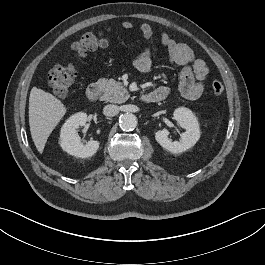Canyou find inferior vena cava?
Listing matches in <instances>:
<instances>
[{
    "label": "inferior vena cava",
    "mask_w": 265,
    "mask_h": 265,
    "mask_svg": "<svg viewBox=\"0 0 265 265\" xmlns=\"http://www.w3.org/2000/svg\"><path fill=\"white\" fill-rule=\"evenodd\" d=\"M119 113V107L114 104H108L103 108V114L108 117L116 116Z\"/></svg>",
    "instance_id": "602c4592"
}]
</instances>
